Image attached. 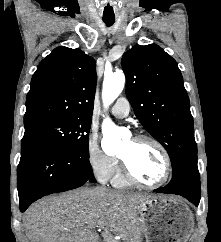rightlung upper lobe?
Segmentation results:
<instances>
[{"label": "right lung upper lobe", "instance_id": "cb5924a9", "mask_svg": "<svg viewBox=\"0 0 221 242\" xmlns=\"http://www.w3.org/2000/svg\"><path fill=\"white\" fill-rule=\"evenodd\" d=\"M95 60L80 49L55 48L31 80L24 125L69 118H92L96 90Z\"/></svg>", "mask_w": 221, "mask_h": 242}]
</instances>
